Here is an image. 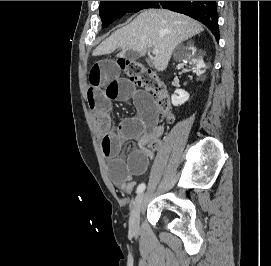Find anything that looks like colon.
Instances as JSON below:
<instances>
[{"mask_svg": "<svg viewBox=\"0 0 271 266\" xmlns=\"http://www.w3.org/2000/svg\"><path fill=\"white\" fill-rule=\"evenodd\" d=\"M118 66L128 79L150 92L154 98L157 110L168 120L173 118L169 94L165 83L156 72L135 60L119 59ZM153 147L158 145V139H152Z\"/></svg>", "mask_w": 271, "mask_h": 266, "instance_id": "obj_1", "label": "colon"}]
</instances>
